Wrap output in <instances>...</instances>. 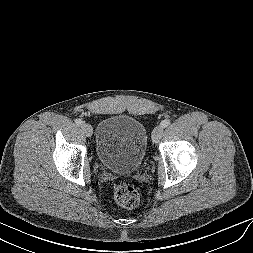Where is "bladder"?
I'll use <instances>...</instances> for the list:
<instances>
[{
	"label": "bladder",
	"instance_id": "obj_1",
	"mask_svg": "<svg viewBox=\"0 0 253 253\" xmlns=\"http://www.w3.org/2000/svg\"><path fill=\"white\" fill-rule=\"evenodd\" d=\"M147 144V131L141 121L129 115H112L98 124L95 154L106 169L132 173L143 163Z\"/></svg>",
	"mask_w": 253,
	"mask_h": 253
}]
</instances>
